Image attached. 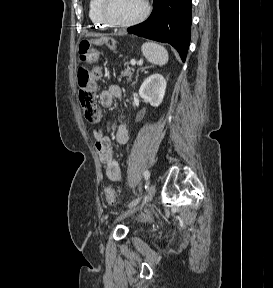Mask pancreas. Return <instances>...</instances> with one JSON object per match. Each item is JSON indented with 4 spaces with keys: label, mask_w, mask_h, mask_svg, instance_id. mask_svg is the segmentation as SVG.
Listing matches in <instances>:
<instances>
[{
    "label": "pancreas",
    "mask_w": 273,
    "mask_h": 288,
    "mask_svg": "<svg viewBox=\"0 0 273 288\" xmlns=\"http://www.w3.org/2000/svg\"><path fill=\"white\" fill-rule=\"evenodd\" d=\"M133 72H134V68L127 66L126 69L121 72V76L119 77V80H121L122 77L127 76L128 77L127 80L130 81L131 78L133 77Z\"/></svg>",
    "instance_id": "1"
}]
</instances>
